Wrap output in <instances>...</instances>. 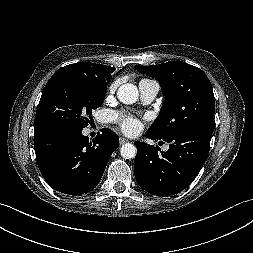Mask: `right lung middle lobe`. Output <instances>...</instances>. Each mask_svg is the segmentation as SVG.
Wrapping results in <instances>:
<instances>
[{"label": "right lung middle lobe", "instance_id": "obj_1", "mask_svg": "<svg viewBox=\"0 0 253 253\" xmlns=\"http://www.w3.org/2000/svg\"><path fill=\"white\" fill-rule=\"evenodd\" d=\"M107 83L68 71H56L49 79L37 107L34 130L64 127L82 130L92 110L104 101Z\"/></svg>", "mask_w": 253, "mask_h": 253}]
</instances>
